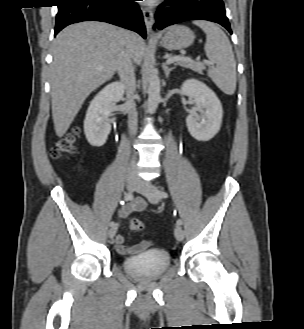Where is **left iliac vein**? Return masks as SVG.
<instances>
[{
	"mask_svg": "<svg viewBox=\"0 0 304 329\" xmlns=\"http://www.w3.org/2000/svg\"><path fill=\"white\" fill-rule=\"evenodd\" d=\"M136 190L144 195L152 204H157L160 201L161 197L158 195L157 187L150 183L139 181ZM174 235L178 241H182L184 239V230L180 225L175 227Z\"/></svg>",
	"mask_w": 304,
	"mask_h": 329,
	"instance_id": "4c4485c4",
	"label": "left iliac vein"
}]
</instances>
